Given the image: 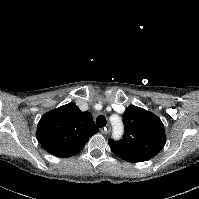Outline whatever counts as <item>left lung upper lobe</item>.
<instances>
[{
    "mask_svg": "<svg viewBox=\"0 0 199 199\" xmlns=\"http://www.w3.org/2000/svg\"><path fill=\"white\" fill-rule=\"evenodd\" d=\"M125 134L120 141L108 140L111 150L129 162L147 161L166 143L162 121L140 107L129 106L123 113Z\"/></svg>",
    "mask_w": 199,
    "mask_h": 199,
    "instance_id": "obj_1",
    "label": "left lung upper lobe"
}]
</instances>
